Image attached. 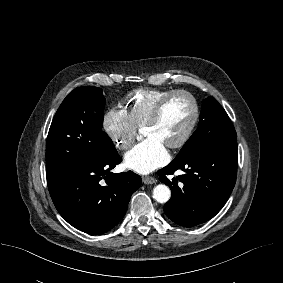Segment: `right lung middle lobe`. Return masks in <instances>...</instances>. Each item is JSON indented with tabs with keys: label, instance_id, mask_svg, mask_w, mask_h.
<instances>
[{
	"label": "right lung middle lobe",
	"instance_id": "dd1d6c3e",
	"mask_svg": "<svg viewBox=\"0 0 283 283\" xmlns=\"http://www.w3.org/2000/svg\"><path fill=\"white\" fill-rule=\"evenodd\" d=\"M105 102L98 87H78L64 99L47 137V176L93 161L115 148L102 131Z\"/></svg>",
	"mask_w": 283,
	"mask_h": 283
}]
</instances>
